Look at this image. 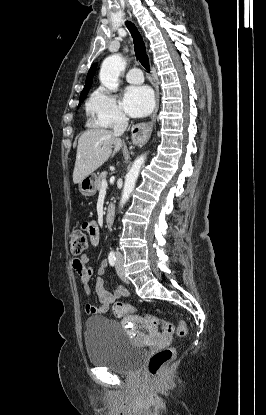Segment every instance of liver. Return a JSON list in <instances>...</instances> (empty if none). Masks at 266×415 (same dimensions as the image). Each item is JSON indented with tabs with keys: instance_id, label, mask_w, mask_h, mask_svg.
Returning <instances> with one entry per match:
<instances>
[{
	"instance_id": "1",
	"label": "liver",
	"mask_w": 266,
	"mask_h": 415,
	"mask_svg": "<svg viewBox=\"0 0 266 415\" xmlns=\"http://www.w3.org/2000/svg\"><path fill=\"white\" fill-rule=\"evenodd\" d=\"M122 146V140L110 130L89 129L85 131L78 140L73 171L74 184L80 183L83 178L93 173L111 155L113 157Z\"/></svg>"
}]
</instances>
